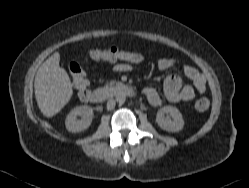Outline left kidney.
I'll return each mask as SVG.
<instances>
[{"label":"left kidney","mask_w":249,"mask_h":188,"mask_svg":"<svg viewBox=\"0 0 249 188\" xmlns=\"http://www.w3.org/2000/svg\"><path fill=\"white\" fill-rule=\"evenodd\" d=\"M169 114L172 117L166 118L165 115ZM156 123L158 126L168 132H179L184 127V120L180 111L172 106H165L158 110L156 115Z\"/></svg>","instance_id":"left-kidney-1"}]
</instances>
